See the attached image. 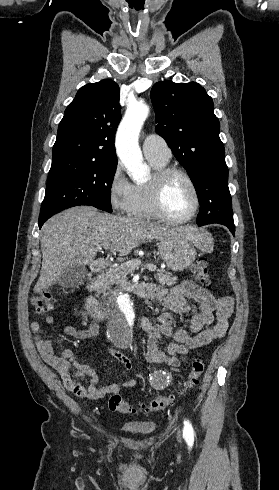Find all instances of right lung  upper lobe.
<instances>
[{
  "label": "right lung upper lobe",
  "mask_w": 279,
  "mask_h": 490,
  "mask_svg": "<svg viewBox=\"0 0 279 490\" xmlns=\"http://www.w3.org/2000/svg\"><path fill=\"white\" fill-rule=\"evenodd\" d=\"M119 86L104 79L80 88L59 123L52 164L117 160L114 137L120 122Z\"/></svg>",
  "instance_id": "1"
}]
</instances>
